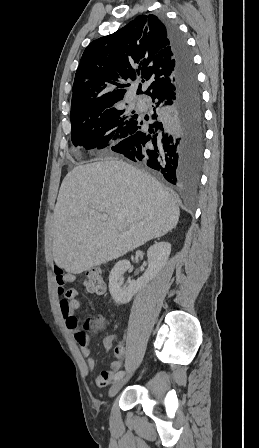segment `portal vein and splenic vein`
<instances>
[{
	"label": "portal vein and splenic vein",
	"instance_id": "18ae733b",
	"mask_svg": "<svg viewBox=\"0 0 259 448\" xmlns=\"http://www.w3.org/2000/svg\"><path fill=\"white\" fill-rule=\"evenodd\" d=\"M90 214L91 216H95V218H100L103 222H107L108 220L107 214H99V212H95V210H91Z\"/></svg>",
	"mask_w": 259,
	"mask_h": 448
}]
</instances>
